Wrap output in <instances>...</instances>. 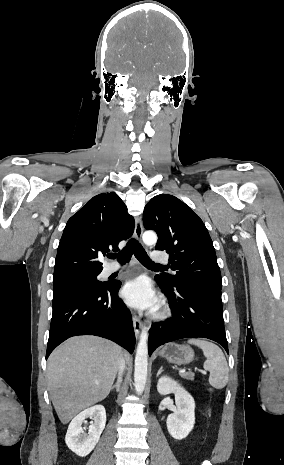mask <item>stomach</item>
<instances>
[{
    "mask_svg": "<svg viewBox=\"0 0 284 465\" xmlns=\"http://www.w3.org/2000/svg\"><path fill=\"white\" fill-rule=\"evenodd\" d=\"M159 355L164 357L168 363H174V365H189L194 359V351L191 347L175 345V343L166 345Z\"/></svg>",
    "mask_w": 284,
    "mask_h": 465,
    "instance_id": "obj_1",
    "label": "stomach"
}]
</instances>
